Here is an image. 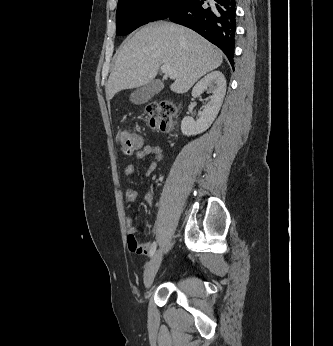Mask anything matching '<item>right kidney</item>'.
<instances>
[{"mask_svg":"<svg viewBox=\"0 0 333 346\" xmlns=\"http://www.w3.org/2000/svg\"><path fill=\"white\" fill-rule=\"evenodd\" d=\"M206 90L212 95L209 97L208 103L204 105L199 119L194 121L193 118L188 116L183 118L181 122L183 135L191 136L204 132L217 117L226 92V79L222 72L213 71L203 77L193 87L192 96L198 98Z\"/></svg>","mask_w":333,"mask_h":346,"instance_id":"1","label":"right kidney"}]
</instances>
